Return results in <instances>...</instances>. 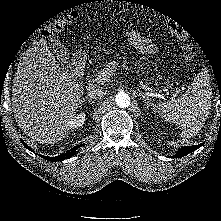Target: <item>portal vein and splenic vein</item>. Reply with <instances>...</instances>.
<instances>
[{"mask_svg":"<svg viewBox=\"0 0 221 221\" xmlns=\"http://www.w3.org/2000/svg\"><path fill=\"white\" fill-rule=\"evenodd\" d=\"M117 66V65H116ZM116 69H113V68H108V69H105L103 70L102 72H100L97 77H96V81L97 82H105L108 80V75H113L115 73ZM140 82V85L141 87L145 90V91H150L151 88L149 86H147L146 84H144L142 81H139ZM167 91V90H166Z\"/></svg>","mask_w":221,"mask_h":221,"instance_id":"portal-vein-and-splenic-vein-1","label":"portal vein and splenic vein"}]
</instances>
